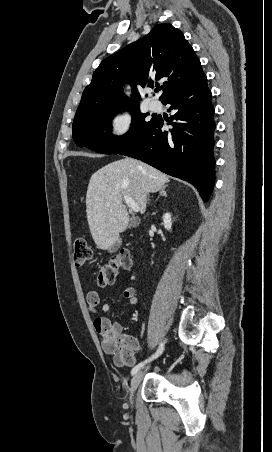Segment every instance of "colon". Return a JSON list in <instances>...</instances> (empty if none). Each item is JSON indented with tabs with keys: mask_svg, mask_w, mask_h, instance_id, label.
<instances>
[{
	"mask_svg": "<svg viewBox=\"0 0 272 452\" xmlns=\"http://www.w3.org/2000/svg\"><path fill=\"white\" fill-rule=\"evenodd\" d=\"M74 263L83 266L94 262V251L85 239H77L74 243ZM131 266L130 254L121 252L110 257L108 262L102 264L98 273V284L110 286L116 282L122 271ZM108 347L115 351V363L119 366H131L135 362L134 351L138 348L135 341L123 337L112 339Z\"/></svg>",
	"mask_w": 272,
	"mask_h": 452,
	"instance_id": "5ec220e1",
	"label": "colon"
}]
</instances>
